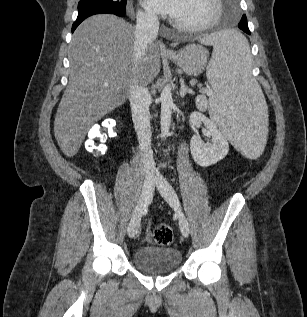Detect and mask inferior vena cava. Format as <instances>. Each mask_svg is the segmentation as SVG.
<instances>
[{
	"mask_svg": "<svg viewBox=\"0 0 307 317\" xmlns=\"http://www.w3.org/2000/svg\"><path fill=\"white\" fill-rule=\"evenodd\" d=\"M159 21L156 15L143 14L137 16L135 28V41L133 47V76L129 86V101L132 111V119L137 133L140 151L142 154L146 177H152L157 170L151 149V129L149 105L151 96L148 89L139 83L137 79L138 67L146 55L148 45L158 35Z\"/></svg>",
	"mask_w": 307,
	"mask_h": 317,
	"instance_id": "1",
	"label": "inferior vena cava"
}]
</instances>
